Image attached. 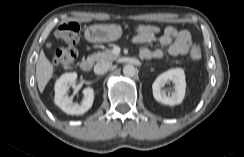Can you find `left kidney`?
Returning <instances> with one entry per match:
<instances>
[{
	"label": "left kidney",
	"instance_id": "obj_1",
	"mask_svg": "<svg viewBox=\"0 0 244 157\" xmlns=\"http://www.w3.org/2000/svg\"><path fill=\"white\" fill-rule=\"evenodd\" d=\"M172 82L174 84V91L170 95L166 94L164 89L165 84ZM153 96L156 101L165 105L174 106L180 104L185 96L186 81L183 69H170L160 74L152 84Z\"/></svg>",
	"mask_w": 244,
	"mask_h": 157
}]
</instances>
